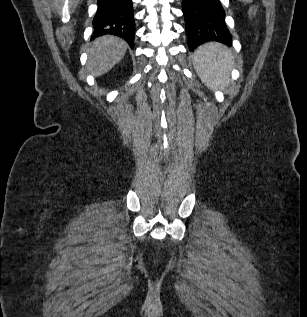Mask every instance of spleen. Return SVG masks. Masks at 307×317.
Here are the masks:
<instances>
[{
  "label": "spleen",
  "instance_id": "obj_1",
  "mask_svg": "<svg viewBox=\"0 0 307 317\" xmlns=\"http://www.w3.org/2000/svg\"><path fill=\"white\" fill-rule=\"evenodd\" d=\"M194 67L212 89H222L228 85L231 68V54L218 43H208L200 47L193 55Z\"/></svg>",
  "mask_w": 307,
  "mask_h": 317
}]
</instances>
